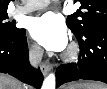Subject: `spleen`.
Here are the masks:
<instances>
[{
  "label": "spleen",
  "instance_id": "1",
  "mask_svg": "<svg viewBox=\"0 0 107 89\" xmlns=\"http://www.w3.org/2000/svg\"><path fill=\"white\" fill-rule=\"evenodd\" d=\"M85 88H87V89H106L107 86L104 85V84L98 83V84H96L94 87H85Z\"/></svg>",
  "mask_w": 107,
  "mask_h": 89
}]
</instances>
